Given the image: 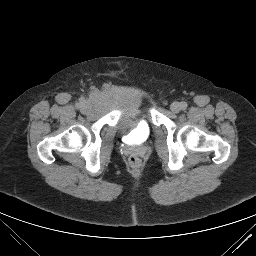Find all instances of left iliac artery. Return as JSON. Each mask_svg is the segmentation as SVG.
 I'll use <instances>...</instances> for the list:
<instances>
[{"instance_id": "44dca946", "label": "left iliac artery", "mask_w": 256, "mask_h": 256, "mask_svg": "<svg viewBox=\"0 0 256 256\" xmlns=\"http://www.w3.org/2000/svg\"><path fill=\"white\" fill-rule=\"evenodd\" d=\"M187 108L186 102H181V109L185 110Z\"/></svg>"}]
</instances>
